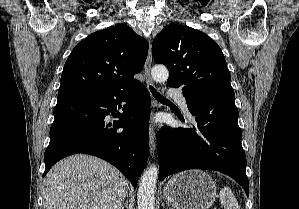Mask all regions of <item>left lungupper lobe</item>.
Segmentation results:
<instances>
[{"instance_id":"1","label":"left lung upper lobe","mask_w":299,"mask_h":209,"mask_svg":"<svg viewBox=\"0 0 299 209\" xmlns=\"http://www.w3.org/2000/svg\"><path fill=\"white\" fill-rule=\"evenodd\" d=\"M153 57L169 70L167 84L185 97L235 98L230 72L218 44L191 27L171 23L153 40Z\"/></svg>"}]
</instances>
